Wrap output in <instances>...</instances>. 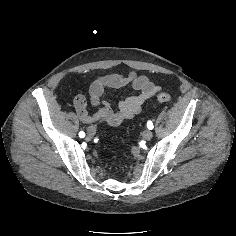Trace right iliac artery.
<instances>
[{
  "label": "right iliac artery",
  "instance_id": "82829eb1",
  "mask_svg": "<svg viewBox=\"0 0 236 236\" xmlns=\"http://www.w3.org/2000/svg\"><path fill=\"white\" fill-rule=\"evenodd\" d=\"M79 137L80 138H84L85 137V133L83 131L79 132Z\"/></svg>",
  "mask_w": 236,
  "mask_h": 236
}]
</instances>
